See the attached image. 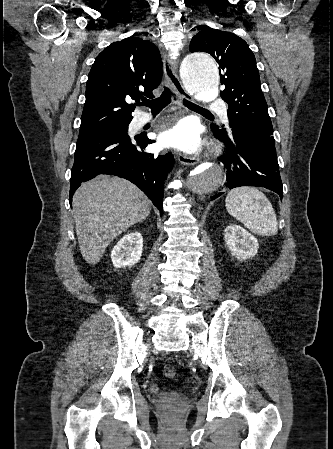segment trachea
I'll return each instance as SVG.
<instances>
[{
    "mask_svg": "<svg viewBox=\"0 0 333 449\" xmlns=\"http://www.w3.org/2000/svg\"><path fill=\"white\" fill-rule=\"evenodd\" d=\"M171 95L172 92L169 88L164 87V91L162 92L161 96L153 99L148 100L146 98L142 99V102L140 105L147 106L151 109L152 112H160L164 107H166L171 102ZM183 104L188 107L191 110L194 111H200V112H209L207 109H204L186 99L183 100Z\"/></svg>",
    "mask_w": 333,
    "mask_h": 449,
    "instance_id": "obj_1",
    "label": "trachea"
}]
</instances>
